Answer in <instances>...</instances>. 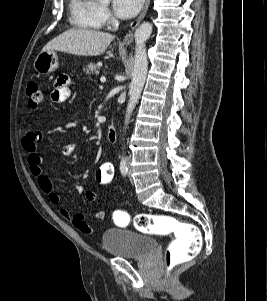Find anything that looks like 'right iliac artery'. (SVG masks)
I'll list each match as a JSON object with an SVG mask.
<instances>
[{"instance_id":"1","label":"right iliac artery","mask_w":267,"mask_h":301,"mask_svg":"<svg viewBox=\"0 0 267 301\" xmlns=\"http://www.w3.org/2000/svg\"><path fill=\"white\" fill-rule=\"evenodd\" d=\"M120 171L123 176H126V174L128 172V167H127V163L125 161L120 163Z\"/></svg>"}]
</instances>
